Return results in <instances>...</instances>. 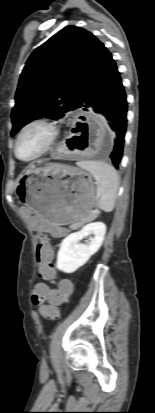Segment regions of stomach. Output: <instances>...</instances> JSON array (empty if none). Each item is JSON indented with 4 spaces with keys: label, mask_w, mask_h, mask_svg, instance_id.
Here are the masks:
<instances>
[{
    "label": "stomach",
    "mask_w": 155,
    "mask_h": 413,
    "mask_svg": "<svg viewBox=\"0 0 155 413\" xmlns=\"http://www.w3.org/2000/svg\"><path fill=\"white\" fill-rule=\"evenodd\" d=\"M16 195L35 214L59 225L86 219L98 202L92 177L62 164L29 166L18 179Z\"/></svg>",
    "instance_id": "obj_1"
}]
</instances>
